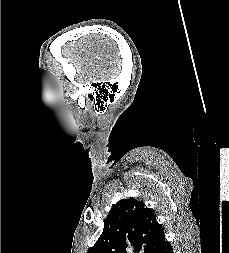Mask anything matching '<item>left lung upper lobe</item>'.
I'll return each mask as SVG.
<instances>
[{
  "mask_svg": "<svg viewBox=\"0 0 229 253\" xmlns=\"http://www.w3.org/2000/svg\"><path fill=\"white\" fill-rule=\"evenodd\" d=\"M165 237L154 212L141 201L122 199L104 221V229L88 253H153Z\"/></svg>",
  "mask_w": 229,
  "mask_h": 253,
  "instance_id": "left-lung-upper-lobe-1",
  "label": "left lung upper lobe"
}]
</instances>
